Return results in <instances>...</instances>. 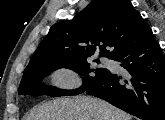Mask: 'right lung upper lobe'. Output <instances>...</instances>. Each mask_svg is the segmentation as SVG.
I'll use <instances>...</instances> for the list:
<instances>
[{"label":"right lung upper lobe","mask_w":165,"mask_h":120,"mask_svg":"<svg viewBox=\"0 0 165 120\" xmlns=\"http://www.w3.org/2000/svg\"><path fill=\"white\" fill-rule=\"evenodd\" d=\"M150 34L151 28L129 0H93L73 19L54 24L28 65L96 54L113 59Z\"/></svg>","instance_id":"obj_1"}]
</instances>
